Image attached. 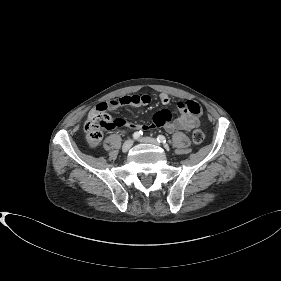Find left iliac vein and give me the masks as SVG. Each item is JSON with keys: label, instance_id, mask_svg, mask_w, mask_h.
<instances>
[{"label": "left iliac vein", "instance_id": "1", "mask_svg": "<svg viewBox=\"0 0 281 281\" xmlns=\"http://www.w3.org/2000/svg\"><path fill=\"white\" fill-rule=\"evenodd\" d=\"M140 142H143V143H151V144H154V145H159L158 141L155 139V138H152V137H142L139 139Z\"/></svg>", "mask_w": 281, "mask_h": 281}]
</instances>
